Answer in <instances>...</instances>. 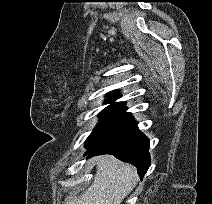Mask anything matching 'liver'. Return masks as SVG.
<instances>
[{
	"label": "liver",
	"mask_w": 212,
	"mask_h": 204,
	"mask_svg": "<svg viewBox=\"0 0 212 204\" xmlns=\"http://www.w3.org/2000/svg\"><path fill=\"white\" fill-rule=\"evenodd\" d=\"M93 160L97 170L92 185L78 197L69 196L65 204H121L139 181L134 166L111 155Z\"/></svg>",
	"instance_id": "obj_1"
}]
</instances>
